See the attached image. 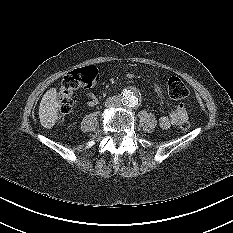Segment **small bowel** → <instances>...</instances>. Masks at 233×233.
<instances>
[{"mask_svg":"<svg viewBox=\"0 0 233 233\" xmlns=\"http://www.w3.org/2000/svg\"><path fill=\"white\" fill-rule=\"evenodd\" d=\"M89 106H94L97 103L96 97L92 93L85 95ZM188 112L183 104H178L168 115L159 118V126L162 129H169L172 126L179 125L183 120H187Z\"/></svg>","mask_w":233,"mask_h":233,"instance_id":"obj_1","label":"small bowel"}]
</instances>
